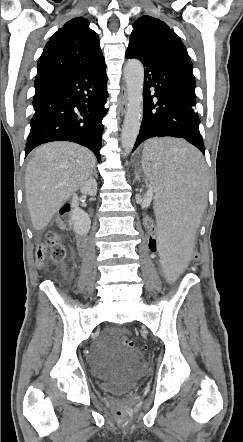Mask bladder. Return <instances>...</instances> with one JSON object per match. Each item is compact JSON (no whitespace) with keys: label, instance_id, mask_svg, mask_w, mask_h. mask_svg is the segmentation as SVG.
Wrapping results in <instances>:
<instances>
[{"label":"bladder","instance_id":"1","mask_svg":"<svg viewBox=\"0 0 243 442\" xmlns=\"http://www.w3.org/2000/svg\"><path fill=\"white\" fill-rule=\"evenodd\" d=\"M144 369V365L136 355L120 353L117 358V368L104 376L100 388L113 394L126 393L137 386Z\"/></svg>","mask_w":243,"mask_h":442}]
</instances>
